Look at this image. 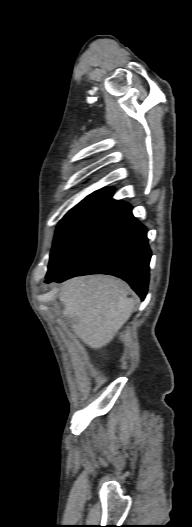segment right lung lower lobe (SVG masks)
I'll use <instances>...</instances> for the list:
<instances>
[{"label":"right lung lower lobe","instance_id":"obj_1","mask_svg":"<svg viewBox=\"0 0 192 527\" xmlns=\"http://www.w3.org/2000/svg\"><path fill=\"white\" fill-rule=\"evenodd\" d=\"M102 189L53 247L46 283L87 274H110L127 281L144 300L151 250L146 228L132 207Z\"/></svg>","mask_w":192,"mask_h":527}]
</instances>
